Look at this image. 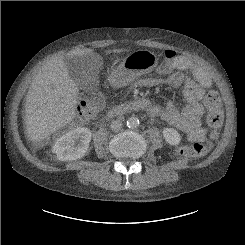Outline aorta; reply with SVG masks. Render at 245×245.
<instances>
[{
    "mask_svg": "<svg viewBox=\"0 0 245 245\" xmlns=\"http://www.w3.org/2000/svg\"><path fill=\"white\" fill-rule=\"evenodd\" d=\"M127 126L132 129L137 128L139 126V120L136 117H130L127 120Z\"/></svg>",
    "mask_w": 245,
    "mask_h": 245,
    "instance_id": "1",
    "label": "aorta"
}]
</instances>
